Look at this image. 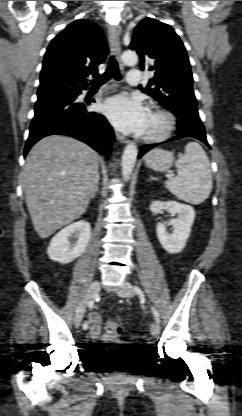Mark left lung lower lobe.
<instances>
[{"mask_svg":"<svg viewBox=\"0 0 242 416\" xmlns=\"http://www.w3.org/2000/svg\"><path fill=\"white\" fill-rule=\"evenodd\" d=\"M177 127L179 128V131H178L179 134L176 135L175 137L167 140L166 142L175 141V140H178V139L183 138V137H194V138L202 141L203 143H205L208 147H210L207 140H206L205 132L202 131V130H199V127L196 126L194 123H192V122L188 123V124L179 123V125ZM159 144L160 143H158V144H149V145L142 146L138 158H141L146 152H148L149 150H151L152 148H154L155 146H157Z\"/></svg>","mask_w":242,"mask_h":416,"instance_id":"obj_1","label":"left lung lower lobe"}]
</instances>
